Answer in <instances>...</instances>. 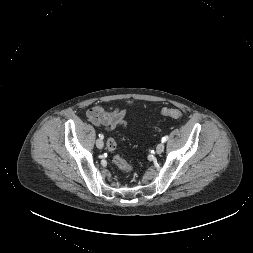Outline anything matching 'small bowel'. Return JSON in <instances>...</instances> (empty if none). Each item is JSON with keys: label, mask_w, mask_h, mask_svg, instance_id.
<instances>
[{"label": "small bowel", "mask_w": 253, "mask_h": 253, "mask_svg": "<svg viewBox=\"0 0 253 253\" xmlns=\"http://www.w3.org/2000/svg\"><path fill=\"white\" fill-rule=\"evenodd\" d=\"M125 116L126 111L121 108L95 106L87 112V117L93 124L103 127L106 130H113L117 127L125 126Z\"/></svg>", "instance_id": "obj_1"}]
</instances>
